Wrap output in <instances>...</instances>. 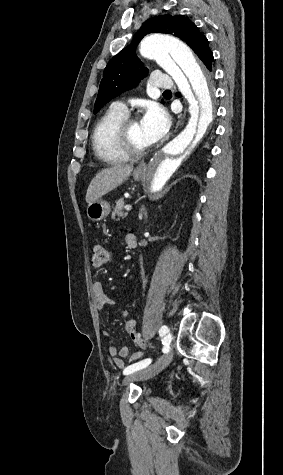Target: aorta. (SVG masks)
<instances>
[{"instance_id": "aorta-1", "label": "aorta", "mask_w": 283, "mask_h": 475, "mask_svg": "<svg viewBox=\"0 0 283 475\" xmlns=\"http://www.w3.org/2000/svg\"><path fill=\"white\" fill-rule=\"evenodd\" d=\"M140 54L154 59L176 82L189 103L186 127L151 159L142 181L145 197H158L199 148L213 120V83L190 49L169 35L153 34L140 43ZM144 208V206H142Z\"/></svg>"}]
</instances>
